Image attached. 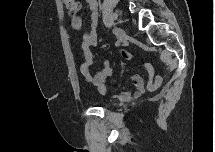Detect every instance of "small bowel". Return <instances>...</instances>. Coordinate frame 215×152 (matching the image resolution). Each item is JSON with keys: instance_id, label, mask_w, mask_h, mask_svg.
<instances>
[{"instance_id": "1", "label": "small bowel", "mask_w": 215, "mask_h": 152, "mask_svg": "<svg viewBox=\"0 0 215 152\" xmlns=\"http://www.w3.org/2000/svg\"><path fill=\"white\" fill-rule=\"evenodd\" d=\"M86 3L91 18V30H83V18L81 16H72L71 26L82 35L81 47L84 52L86 63L81 67V72L84 78L92 83L100 94L104 95L106 93L107 83L110 81V77L113 74V70L109 60H105L102 68L94 75H92L89 70L88 66L92 62L91 48L97 46L96 26L98 21V3L96 0H87ZM148 71L150 73V80L147 85L142 76L135 74L132 76L134 89L124 90L119 94V99L127 101L132 97L140 96L146 90H155L160 85L161 78L159 76H153L152 68L149 67Z\"/></svg>"}]
</instances>
